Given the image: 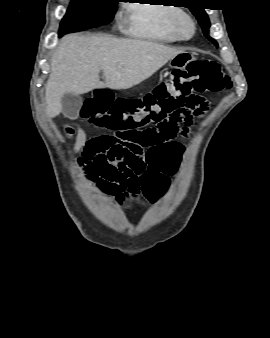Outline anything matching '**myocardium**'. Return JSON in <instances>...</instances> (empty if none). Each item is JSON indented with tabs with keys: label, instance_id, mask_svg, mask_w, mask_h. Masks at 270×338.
<instances>
[{
	"label": "myocardium",
	"instance_id": "myocardium-1",
	"mask_svg": "<svg viewBox=\"0 0 270 338\" xmlns=\"http://www.w3.org/2000/svg\"><path fill=\"white\" fill-rule=\"evenodd\" d=\"M184 24H187L189 27V32L187 34L182 32V26ZM171 27H172V31L174 32L175 36L181 40H188L195 33L194 19L189 13L184 12V11H180L174 16Z\"/></svg>",
	"mask_w": 270,
	"mask_h": 338
}]
</instances>
